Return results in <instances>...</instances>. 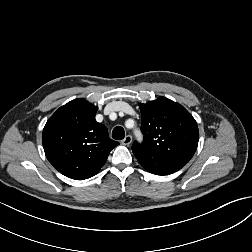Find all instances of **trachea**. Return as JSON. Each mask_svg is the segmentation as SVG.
I'll return each instance as SVG.
<instances>
[{
  "label": "trachea",
  "instance_id": "3493384b",
  "mask_svg": "<svg viewBox=\"0 0 252 252\" xmlns=\"http://www.w3.org/2000/svg\"><path fill=\"white\" fill-rule=\"evenodd\" d=\"M125 137L124 129L120 126H117L112 131V138L115 140H122Z\"/></svg>",
  "mask_w": 252,
  "mask_h": 252
}]
</instances>
